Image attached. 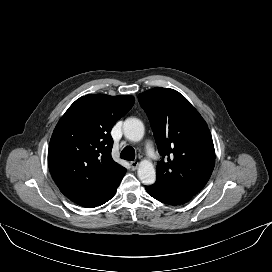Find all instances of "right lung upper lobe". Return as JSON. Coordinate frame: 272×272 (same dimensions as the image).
I'll return each instance as SVG.
<instances>
[{
  "label": "right lung upper lobe",
  "mask_w": 272,
  "mask_h": 272,
  "mask_svg": "<svg viewBox=\"0 0 272 272\" xmlns=\"http://www.w3.org/2000/svg\"><path fill=\"white\" fill-rule=\"evenodd\" d=\"M134 102L128 95L90 94L77 99L59 120L49 144L48 165L71 201L92 195L122 168L111 157L110 131Z\"/></svg>",
  "instance_id": "1"
}]
</instances>
